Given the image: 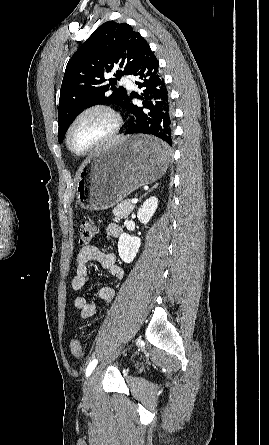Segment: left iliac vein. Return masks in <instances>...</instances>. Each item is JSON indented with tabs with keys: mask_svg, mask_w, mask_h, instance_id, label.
<instances>
[{
	"mask_svg": "<svg viewBox=\"0 0 269 445\" xmlns=\"http://www.w3.org/2000/svg\"><path fill=\"white\" fill-rule=\"evenodd\" d=\"M119 354V351L116 353V355ZM102 366H99L96 368L92 374L89 376V378L86 380L83 388V394L85 400H90L95 393V384L98 379V376L101 372Z\"/></svg>",
	"mask_w": 269,
	"mask_h": 445,
	"instance_id": "4c4485c4",
	"label": "left iliac vein"
}]
</instances>
